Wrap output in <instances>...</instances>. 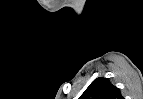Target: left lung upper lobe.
Returning <instances> with one entry per match:
<instances>
[{
  "label": "left lung upper lobe",
  "instance_id": "5c2ea615",
  "mask_svg": "<svg viewBox=\"0 0 143 99\" xmlns=\"http://www.w3.org/2000/svg\"><path fill=\"white\" fill-rule=\"evenodd\" d=\"M79 99H123L119 88L108 78H96Z\"/></svg>",
  "mask_w": 143,
  "mask_h": 99
}]
</instances>
